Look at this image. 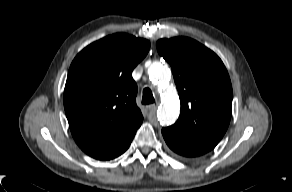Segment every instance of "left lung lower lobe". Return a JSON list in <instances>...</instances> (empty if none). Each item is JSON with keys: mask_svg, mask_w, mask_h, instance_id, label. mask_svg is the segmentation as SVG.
<instances>
[{"mask_svg": "<svg viewBox=\"0 0 292 192\" xmlns=\"http://www.w3.org/2000/svg\"><path fill=\"white\" fill-rule=\"evenodd\" d=\"M163 137L171 150L185 157H196L212 150L218 143L193 138L171 129H162Z\"/></svg>", "mask_w": 292, "mask_h": 192, "instance_id": "obj_1", "label": "left lung lower lobe"}]
</instances>
